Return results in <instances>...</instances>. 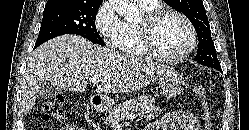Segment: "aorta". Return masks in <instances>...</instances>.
<instances>
[{"label":"aorta","mask_w":249,"mask_h":130,"mask_svg":"<svg viewBox=\"0 0 249 130\" xmlns=\"http://www.w3.org/2000/svg\"><path fill=\"white\" fill-rule=\"evenodd\" d=\"M115 11L128 21L140 18V11L132 0H110Z\"/></svg>","instance_id":"762f6f07"}]
</instances>
